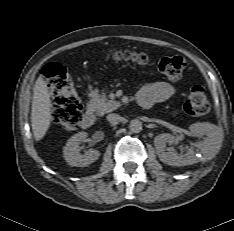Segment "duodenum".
I'll use <instances>...</instances> for the list:
<instances>
[{
    "label": "duodenum",
    "mask_w": 234,
    "mask_h": 231,
    "mask_svg": "<svg viewBox=\"0 0 234 231\" xmlns=\"http://www.w3.org/2000/svg\"><path fill=\"white\" fill-rule=\"evenodd\" d=\"M139 103V102H138ZM140 105V104H139ZM141 106V105H140ZM144 108H147V107H144ZM82 126L84 128H90L94 125L95 123V115H94V112L93 110L89 109L87 110L83 116H82Z\"/></svg>",
    "instance_id": "1"
}]
</instances>
